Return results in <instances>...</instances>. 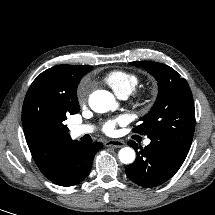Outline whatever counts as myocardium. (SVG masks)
I'll use <instances>...</instances> for the list:
<instances>
[{
    "mask_svg": "<svg viewBox=\"0 0 215 215\" xmlns=\"http://www.w3.org/2000/svg\"><path fill=\"white\" fill-rule=\"evenodd\" d=\"M152 91L150 88H143L136 93V99L139 103L145 104L149 102Z\"/></svg>",
    "mask_w": 215,
    "mask_h": 215,
    "instance_id": "f54148a6",
    "label": "myocardium"
}]
</instances>
